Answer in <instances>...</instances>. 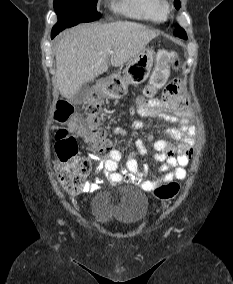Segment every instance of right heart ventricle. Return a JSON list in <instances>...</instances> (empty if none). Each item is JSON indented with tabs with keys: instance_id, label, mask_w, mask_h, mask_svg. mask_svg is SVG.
<instances>
[{
	"instance_id": "obj_1",
	"label": "right heart ventricle",
	"mask_w": 233,
	"mask_h": 284,
	"mask_svg": "<svg viewBox=\"0 0 233 284\" xmlns=\"http://www.w3.org/2000/svg\"><path fill=\"white\" fill-rule=\"evenodd\" d=\"M163 7V0H116L114 3V9L123 15L154 23L164 20Z\"/></svg>"
}]
</instances>
